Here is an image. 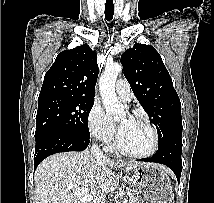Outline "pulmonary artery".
Segmentation results:
<instances>
[{
    "mask_svg": "<svg viewBox=\"0 0 214 203\" xmlns=\"http://www.w3.org/2000/svg\"><path fill=\"white\" fill-rule=\"evenodd\" d=\"M115 89L118 96L123 101H130L131 99V90L128 82L125 79H118L115 84Z\"/></svg>",
    "mask_w": 214,
    "mask_h": 203,
    "instance_id": "pulmonary-artery-1",
    "label": "pulmonary artery"
}]
</instances>
